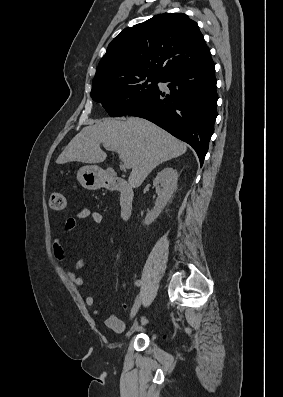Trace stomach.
Here are the masks:
<instances>
[{
    "label": "stomach",
    "instance_id": "obj_1",
    "mask_svg": "<svg viewBox=\"0 0 283 397\" xmlns=\"http://www.w3.org/2000/svg\"><path fill=\"white\" fill-rule=\"evenodd\" d=\"M107 173L96 165L81 167L77 172L79 183L88 190H97L105 185Z\"/></svg>",
    "mask_w": 283,
    "mask_h": 397
}]
</instances>
